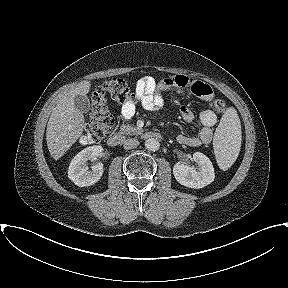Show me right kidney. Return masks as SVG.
Here are the masks:
<instances>
[{
	"instance_id": "obj_1",
	"label": "right kidney",
	"mask_w": 288,
	"mask_h": 288,
	"mask_svg": "<svg viewBox=\"0 0 288 288\" xmlns=\"http://www.w3.org/2000/svg\"><path fill=\"white\" fill-rule=\"evenodd\" d=\"M101 146H89L79 152L71 161L68 168V177L79 187L90 186L99 181L103 174V165L97 164L88 170V160H95L102 155Z\"/></svg>"
}]
</instances>
